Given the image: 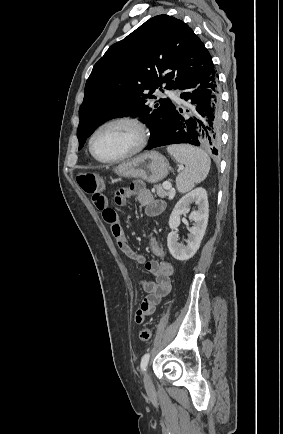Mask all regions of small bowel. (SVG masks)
<instances>
[{"mask_svg":"<svg viewBox=\"0 0 283 434\" xmlns=\"http://www.w3.org/2000/svg\"><path fill=\"white\" fill-rule=\"evenodd\" d=\"M131 198L137 200L148 217L158 216L165 210V203L155 199L152 192L147 189L145 184L141 181H135L127 188L117 192L115 202L122 204ZM92 202L94 206L101 211L104 221L110 225L111 232L120 251L130 259L144 263L146 270L154 278L153 281H142L146 295L143 297L134 315V321L137 324H141L148 315L154 312L161 299L170 292V277L173 273V265L165 259V252L159 247L154 237L150 238V248L158 260L145 262L144 257L135 252L129 245L127 235L120 223L118 214L113 208L109 207L106 196L101 192L95 193L92 195Z\"/></svg>","mask_w":283,"mask_h":434,"instance_id":"small-bowel-1","label":"small bowel"}]
</instances>
